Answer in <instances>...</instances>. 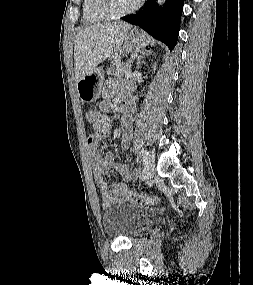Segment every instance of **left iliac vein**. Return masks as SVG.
Masks as SVG:
<instances>
[{
  "label": "left iliac vein",
  "mask_w": 253,
  "mask_h": 285,
  "mask_svg": "<svg viewBox=\"0 0 253 285\" xmlns=\"http://www.w3.org/2000/svg\"><path fill=\"white\" fill-rule=\"evenodd\" d=\"M155 171V159L152 155H149L145 162L144 175L146 179H151Z\"/></svg>",
  "instance_id": "4c4485c4"
}]
</instances>
